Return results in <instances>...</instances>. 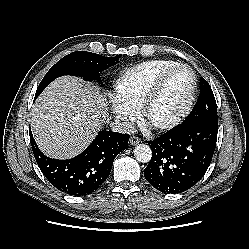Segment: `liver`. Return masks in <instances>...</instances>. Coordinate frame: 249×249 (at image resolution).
<instances>
[{
    "mask_svg": "<svg viewBox=\"0 0 249 249\" xmlns=\"http://www.w3.org/2000/svg\"><path fill=\"white\" fill-rule=\"evenodd\" d=\"M105 97L76 77L52 82L31 111V129L39 148L64 159L81 153L94 139L106 115Z\"/></svg>",
    "mask_w": 249,
    "mask_h": 249,
    "instance_id": "1",
    "label": "liver"
}]
</instances>
